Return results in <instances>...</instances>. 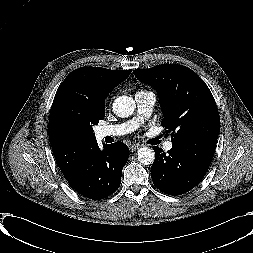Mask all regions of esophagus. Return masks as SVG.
<instances>
[{
  "label": "esophagus",
  "instance_id": "34e87169",
  "mask_svg": "<svg viewBox=\"0 0 253 253\" xmlns=\"http://www.w3.org/2000/svg\"><path fill=\"white\" fill-rule=\"evenodd\" d=\"M139 147H140V145H138V144H133V145L130 146V151H131V152H135L136 150L139 149Z\"/></svg>",
  "mask_w": 253,
  "mask_h": 253
}]
</instances>
